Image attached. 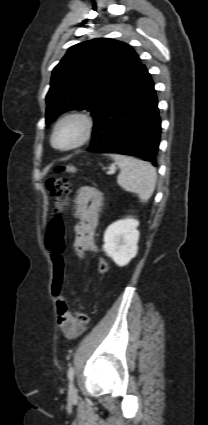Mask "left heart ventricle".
Returning <instances> with one entry per match:
<instances>
[{"mask_svg":"<svg viewBox=\"0 0 208 425\" xmlns=\"http://www.w3.org/2000/svg\"><path fill=\"white\" fill-rule=\"evenodd\" d=\"M78 125L68 124L62 127L57 135L56 142L58 145H66L72 142L78 134Z\"/></svg>","mask_w":208,"mask_h":425,"instance_id":"obj_1","label":"left heart ventricle"}]
</instances>
